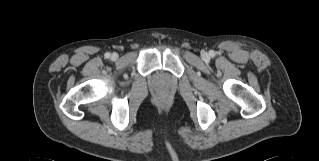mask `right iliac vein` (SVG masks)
Listing matches in <instances>:
<instances>
[{"mask_svg":"<svg viewBox=\"0 0 319 161\" xmlns=\"http://www.w3.org/2000/svg\"><path fill=\"white\" fill-rule=\"evenodd\" d=\"M117 57H118V55H117L116 53H113V54H112V59H113V60L117 59Z\"/></svg>","mask_w":319,"mask_h":161,"instance_id":"right-iliac-vein-1","label":"right iliac vein"}]
</instances>
